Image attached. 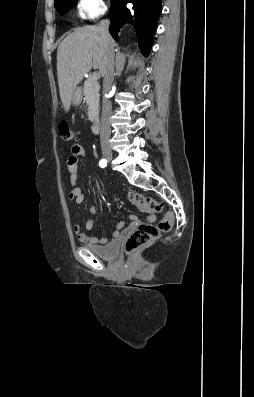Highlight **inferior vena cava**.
Returning a JSON list of instances; mask_svg holds the SVG:
<instances>
[{"label": "inferior vena cava", "mask_w": 254, "mask_h": 397, "mask_svg": "<svg viewBox=\"0 0 254 397\" xmlns=\"http://www.w3.org/2000/svg\"><path fill=\"white\" fill-rule=\"evenodd\" d=\"M109 21L103 20L100 23V29L102 38L107 47L106 53V66L104 70V80H103V101H102V116H101V133H100V142L101 148L107 149L109 148V140H110V116L112 112V104L108 99V93L111 90L112 83L114 80V47L112 45V39L108 31Z\"/></svg>", "instance_id": "obj_1"}]
</instances>
